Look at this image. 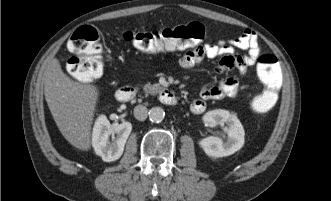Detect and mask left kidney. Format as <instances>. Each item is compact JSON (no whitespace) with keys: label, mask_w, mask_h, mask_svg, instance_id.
Wrapping results in <instances>:
<instances>
[{"label":"left kidney","mask_w":331,"mask_h":201,"mask_svg":"<svg viewBox=\"0 0 331 201\" xmlns=\"http://www.w3.org/2000/svg\"><path fill=\"white\" fill-rule=\"evenodd\" d=\"M203 121L210 127L220 125L227 132L226 142L219 137L209 136L199 141V146L210 157H225L240 150L244 144L245 131L236 115L229 111L216 109L207 112Z\"/></svg>","instance_id":"left-kidney-1"}]
</instances>
